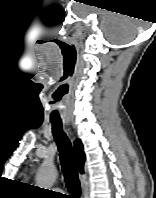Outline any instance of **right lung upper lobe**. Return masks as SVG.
<instances>
[{
    "instance_id": "1",
    "label": "right lung upper lobe",
    "mask_w": 156,
    "mask_h": 198,
    "mask_svg": "<svg viewBox=\"0 0 156 198\" xmlns=\"http://www.w3.org/2000/svg\"><path fill=\"white\" fill-rule=\"evenodd\" d=\"M74 154L76 157V163L78 165V170L80 173H84V162H85V154L83 150V145L79 139L75 141L74 144Z\"/></svg>"
}]
</instances>
